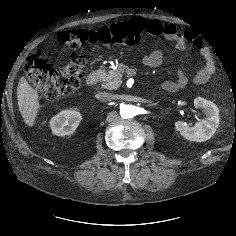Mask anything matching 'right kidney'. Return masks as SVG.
I'll use <instances>...</instances> for the list:
<instances>
[{
	"label": "right kidney",
	"mask_w": 236,
	"mask_h": 236,
	"mask_svg": "<svg viewBox=\"0 0 236 236\" xmlns=\"http://www.w3.org/2000/svg\"><path fill=\"white\" fill-rule=\"evenodd\" d=\"M81 114L75 110H63L50 120V127L54 135L65 136L75 132L80 121Z\"/></svg>",
	"instance_id": "ca27d5eb"
}]
</instances>
